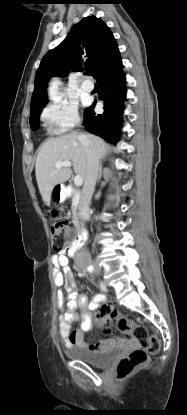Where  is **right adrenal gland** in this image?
I'll use <instances>...</instances> for the list:
<instances>
[{
  "label": "right adrenal gland",
  "mask_w": 187,
  "mask_h": 415,
  "mask_svg": "<svg viewBox=\"0 0 187 415\" xmlns=\"http://www.w3.org/2000/svg\"><path fill=\"white\" fill-rule=\"evenodd\" d=\"M101 177H102V164H100V167H99V174H98L97 180L100 181Z\"/></svg>",
  "instance_id": "1"
}]
</instances>
